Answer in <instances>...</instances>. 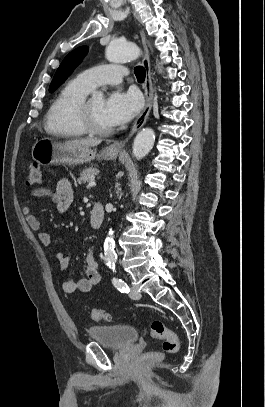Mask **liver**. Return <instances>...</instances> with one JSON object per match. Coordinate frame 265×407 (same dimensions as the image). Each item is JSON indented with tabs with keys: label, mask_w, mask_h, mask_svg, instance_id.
<instances>
[{
	"label": "liver",
	"mask_w": 265,
	"mask_h": 407,
	"mask_svg": "<svg viewBox=\"0 0 265 407\" xmlns=\"http://www.w3.org/2000/svg\"><path fill=\"white\" fill-rule=\"evenodd\" d=\"M101 143L99 139H80V140H73L67 141L65 144L67 145H77V146H85V147H95Z\"/></svg>",
	"instance_id": "obj_1"
}]
</instances>
